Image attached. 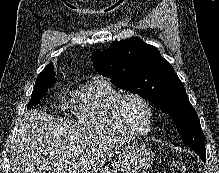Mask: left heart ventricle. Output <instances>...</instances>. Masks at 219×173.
<instances>
[{
  "label": "left heart ventricle",
  "mask_w": 219,
  "mask_h": 173,
  "mask_svg": "<svg viewBox=\"0 0 219 173\" xmlns=\"http://www.w3.org/2000/svg\"><path fill=\"white\" fill-rule=\"evenodd\" d=\"M123 122L131 129L144 131L149 121V112L145 105L137 99H127L122 106Z\"/></svg>",
  "instance_id": "b2bd125f"
}]
</instances>
